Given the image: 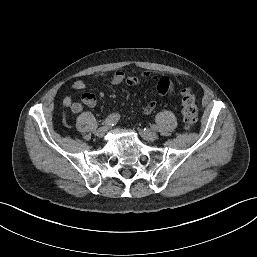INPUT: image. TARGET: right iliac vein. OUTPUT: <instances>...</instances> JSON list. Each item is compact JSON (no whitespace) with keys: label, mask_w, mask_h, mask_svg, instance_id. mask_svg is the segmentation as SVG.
Masks as SVG:
<instances>
[{"label":"right iliac vein","mask_w":257,"mask_h":257,"mask_svg":"<svg viewBox=\"0 0 257 257\" xmlns=\"http://www.w3.org/2000/svg\"><path fill=\"white\" fill-rule=\"evenodd\" d=\"M108 127L105 125L103 127H100L97 131H96V136L98 138H103L105 133L107 132Z\"/></svg>","instance_id":"obj_1"}]
</instances>
